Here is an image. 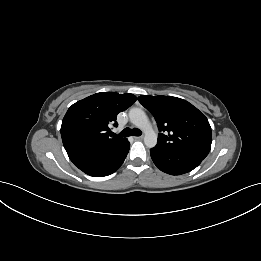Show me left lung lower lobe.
I'll list each match as a JSON object with an SVG mask.
<instances>
[{"label":"left lung lower lobe","mask_w":261,"mask_h":261,"mask_svg":"<svg viewBox=\"0 0 261 261\" xmlns=\"http://www.w3.org/2000/svg\"><path fill=\"white\" fill-rule=\"evenodd\" d=\"M154 164L170 175H181L195 169L203 159L187 153L155 146L150 150Z\"/></svg>","instance_id":"obj_1"}]
</instances>
